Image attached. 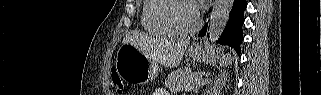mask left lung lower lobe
Listing matches in <instances>:
<instances>
[{
    "mask_svg": "<svg viewBox=\"0 0 321 95\" xmlns=\"http://www.w3.org/2000/svg\"><path fill=\"white\" fill-rule=\"evenodd\" d=\"M247 7L246 0H234L233 7L230 12L229 21L218 39V43L228 45L240 54V43L243 40L242 25L244 23V10ZM207 24L200 31L199 36H205Z\"/></svg>",
    "mask_w": 321,
    "mask_h": 95,
    "instance_id": "left-lung-lower-lobe-1",
    "label": "left lung lower lobe"
}]
</instances>
